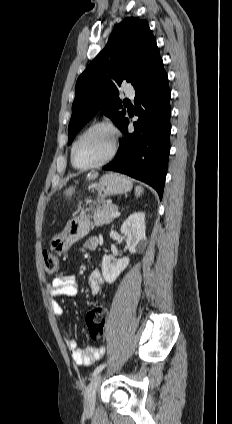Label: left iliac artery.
<instances>
[{
    "label": "left iliac artery",
    "instance_id": "1",
    "mask_svg": "<svg viewBox=\"0 0 232 424\" xmlns=\"http://www.w3.org/2000/svg\"><path fill=\"white\" fill-rule=\"evenodd\" d=\"M105 366L106 364H100L99 366H97L92 374V377L96 376L99 372H101Z\"/></svg>",
    "mask_w": 232,
    "mask_h": 424
}]
</instances>
